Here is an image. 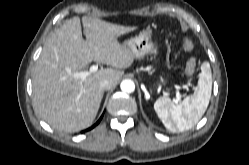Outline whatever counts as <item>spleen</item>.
Instances as JSON below:
<instances>
[{
    "label": "spleen",
    "instance_id": "3e777b00",
    "mask_svg": "<svg viewBox=\"0 0 249 165\" xmlns=\"http://www.w3.org/2000/svg\"><path fill=\"white\" fill-rule=\"evenodd\" d=\"M212 92V73L209 62L201 65V74L196 91L181 103L174 104L170 98L162 97L154 103V110L164 126L172 132L191 129L205 113Z\"/></svg>",
    "mask_w": 249,
    "mask_h": 165
}]
</instances>
